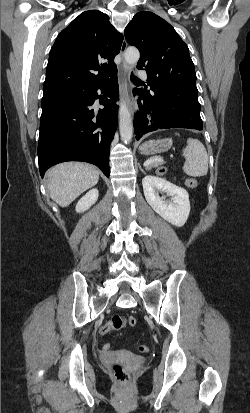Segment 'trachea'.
<instances>
[{"instance_id":"trachea-1","label":"trachea","mask_w":250,"mask_h":413,"mask_svg":"<svg viewBox=\"0 0 250 413\" xmlns=\"http://www.w3.org/2000/svg\"><path fill=\"white\" fill-rule=\"evenodd\" d=\"M131 81L134 83H142L133 73H131Z\"/></svg>"}]
</instances>
